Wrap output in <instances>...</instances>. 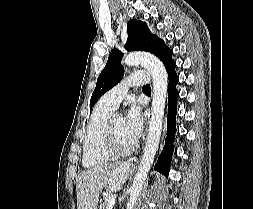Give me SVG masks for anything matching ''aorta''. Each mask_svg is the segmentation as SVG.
I'll use <instances>...</instances> for the list:
<instances>
[{"label": "aorta", "mask_w": 253, "mask_h": 209, "mask_svg": "<svg viewBox=\"0 0 253 209\" xmlns=\"http://www.w3.org/2000/svg\"><path fill=\"white\" fill-rule=\"evenodd\" d=\"M124 64L128 67L141 65L151 73L153 78L152 112L147 140L126 205L127 209H134L158 150L168 89V77L163 63L156 56L148 53H131L125 57Z\"/></svg>", "instance_id": "obj_1"}]
</instances>
